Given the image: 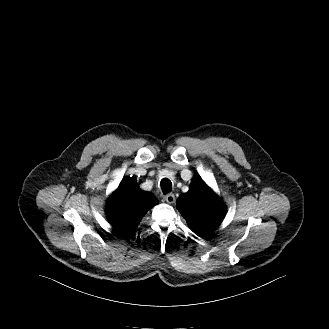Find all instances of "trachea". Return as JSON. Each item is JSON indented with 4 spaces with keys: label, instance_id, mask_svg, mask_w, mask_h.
<instances>
[{
    "label": "trachea",
    "instance_id": "trachea-1",
    "mask_svg": "<svg viewBox=\"0 0 329 329\" xmlns=\"http://www.w3.org/2000/svg\"><path fill=\"white\" fill-rule=\"evenodd\" d=\"M160 184L164 194H167L172 190V182L168 178H163Z\"/></svg>",
    "mask_w": 329,
    "mask_h": 329
}]
</instances>
